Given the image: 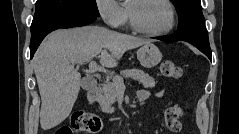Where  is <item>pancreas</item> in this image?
I'll use <instances>...</instances> for the list:
<instances>
[{
	"mask_svg": "<svg viewBox=\"0 0 239 134\" xmlns=\"http://www.w3.org/2000/svg\"><path fill=\"white\" fill-rule=\"evenodd\" d=\"M123 77H131L134 80H137L144 88H153L156 85L155 80L139 69H126L121 71V76H115L112 82H106L103 84V96L99 100L101 110L105 113H113L115 108L112 107V104L116 102L118 85L120 80H123Z\"/></svg>",
	"mask_w": 239,
	"mask_h": 134,
	"instance_id": "obj_1",
	"label": "pancreas"
}]
</instances>
